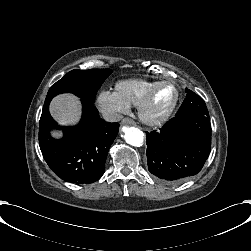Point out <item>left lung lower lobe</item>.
<instances>
[{"instance_id":"0a47b994","label":"left lung lower lobe","mask_w":251,"mask_h":251,"mask_svg":"<svg viewBox=\"0 0 251 251\" xmlns=\"http://www.w3.org/2000/svg\"><path fill=\"white\" fill-rule=\"evenodd\" d=\"M148 170L165 184L196 175L211 150L210 117L185 114L169 120L159 132H146Z\"/></svg>"}]
</instances>
